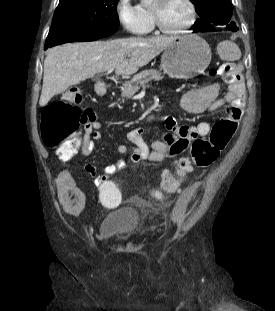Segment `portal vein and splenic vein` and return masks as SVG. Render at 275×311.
Returning <instances> with one entry per match:
<instances>
[{
    "label": "portal vein and splenic vein",
    "mask_w": 275,
    "mask_h": 311,
    "mask_svg": "<svg viewBox=\"0 0 275 311\" xmlns=\"http://www.w3.org/2000/svg\"><path fill=\"white\" fill-rule=\"evenodd\" d=\"M113 71V69H110V70H108L107 72H106V74H109V73H111Z\"/></svg>",
    "instance_id": "portal-vein-and-splenic-vein-1"
}]
</instances>
